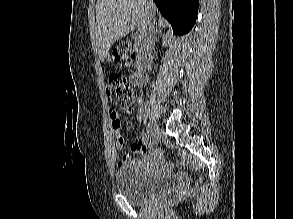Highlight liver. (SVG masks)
I'll use <instances>...</instances> for the list:
<instances>
[{
  "label": "liver",
  "instance_id": "6515ba94",
  "mask_svg": "<svg viewBox=\"0 0 293 219\" xmlns=\"http://www.w3.org/2000/svg\"><path fill=\"white\" fill-rule=\"evenodd\" d=\"M156 11L152 0H97L95 45L99 59L104 62L111 46L133 26L140 31L138 38L142 40L148 28L147 20L152 17L155 22ZM151 38H154V28Z\"/></svg>",
  "mask_w": 293,
  "mask_h": 219
}]
</instances>
